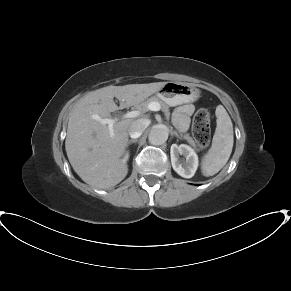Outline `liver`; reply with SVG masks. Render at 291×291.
<instances>
[{"mask_svg":"<svg viewBox=\"0 0 291 291\" xmlns=\"http://www.w3.org/2000/svg\"><path fill=\"white\" fill-rule=\"evenodd\" d=\"M166 82L107 86L82 97L69 115L65 149L71 166L89 185L107 189L120 183L128 173L122 156L128 145V128L134 119H123L108 125L94 116L110 117L119 108L137 106L156 93ZM120 101L118 107L113 98Z\"/></svg>","mask_w":291,"mask_h":291,"instance_id":"liver-1","label":"liver"}]
</instances>
